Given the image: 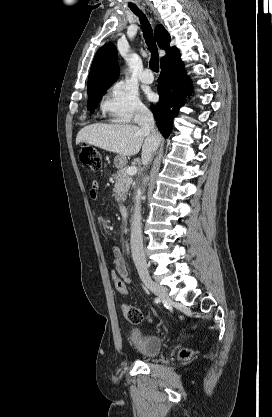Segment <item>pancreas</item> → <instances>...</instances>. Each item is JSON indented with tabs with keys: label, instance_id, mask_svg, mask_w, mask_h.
<instances>
[{
	"label": "pancreas",
	"instance_id": "pancreas-1",
	"mask_svg": "<svg viewBox=\"0 0 272 417\" xmlns=\"http://www.w3.org/2000/svg\"><path fill=\"white\" fill-rule=\"evenodd\" d=\"M115 185L113 193L115 200L122 204L126 199V194L133 183V178L127 174L126 168H120L119 171L113 175Z\"/></svg>",
	"mask_w": 272,
	"mask_h": 417
}]
</instances>
